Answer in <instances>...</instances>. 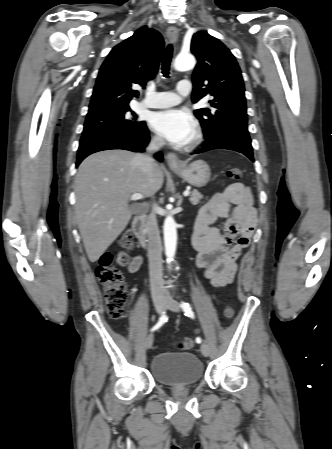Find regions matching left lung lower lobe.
I'll use <instances>...</instances> for the list:
<instances>
[{
    "mask_svg": "<svg viewBox=\"0 0 332 449\" xmlns=\"http://www.w3.org/2000/svg\"><path fill=\"white\" fill-rule=\"evenodd\" d=\"M213 149H229L246 155L254 162L253 148L247 128L232 127L222 130L218 134L207 138L204 146L196 153Z\"/></svg>",
    "mask_w": 332,
    "mask_h": 449,
    "instance_id": "obj_1",
    "label": "left lung lower lobe"
}]
</instances>
